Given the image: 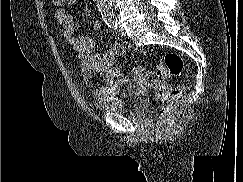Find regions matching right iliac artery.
<instances>
[{
  "mask_svg": "<svg viewBox=\"0 0 243 182\" xmlns=\"http://www.w3.org/2000/svg\"><path fill=\"white\" fill-rule=\"evenodd\" d=\"M109 27L110 28H114V24H109Z\"/></svg>",
  "mask_w": 243,
  "mask_h": 182,
  "instance_id": "82829eb1",
  "label": "right iliac artery"
}]
</instances>
